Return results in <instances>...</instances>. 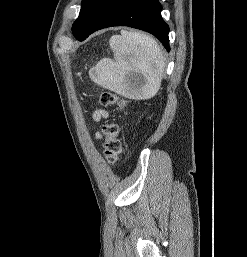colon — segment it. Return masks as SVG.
Here are the masks:
<instances>
[{
	"label": "colon",
	"mask_w": 247,
	"mask_h": 257,
	"mask_svg": "<svg viewBox=\"0 0 247 257\" xmlns=\"http://www.w3.org/2000/svg\"><path fill=\"white\" fill-rule=\"evenodd\" d=\"M99 101L103 106H114L118 114L125 111L126 101L114 93L102 92ZM102 132L105 137L104 155L110 164H114L119 160L122 152V145L119 139V125L115 120H112L102 126Z\"/></svg>",
	"instance_id": "1"
}]
</instances>
